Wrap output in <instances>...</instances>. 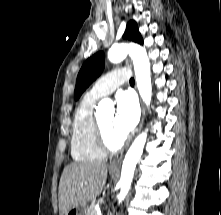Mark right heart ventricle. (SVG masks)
<instances>
[{"mask_svg": "<svg viewBox=\"0 0 221 215\" xmlns=\"http://www.w3.org/2000/svg\"><path fill=\"white\" fill-rule=\"evenodd\" d=\"M97 99L87 93L74 114L71 156L78 162H97L105 157V153L99 148L95 137L94 106Z\"/></svg>", "mask_w": 221, "mask_h": 215, "instance_id": "obj_1", "label": "right heart ventricle"}]
</instances>
